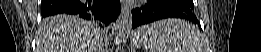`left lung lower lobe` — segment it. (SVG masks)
I'll return each instance as SVG.
<instances>
[{"label":"left lung lower lobe","instance_id":"obj_1","mask_svg":"<svg viewBox=\"0 0 261 52\" xmlns=\"http://www.w3.org/2000/svg\"><path fill=\"white\" fill-rule=\"evenodd\" d=\"M192 0H148L132 10V27L136 28L163 18H183L197 24Z\"/></svg>","mask_w":261,"mask_h":52}]
</instances>
